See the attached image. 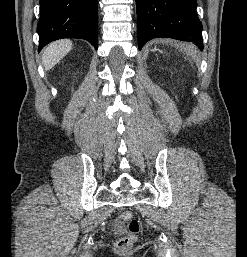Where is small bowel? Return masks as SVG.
I'll use <instances>...</instances> for the list:
<instances>
[{
    "mask_svg": "<svg viewBox=\"0 0 247 257\" xmlns=\"http://www.w3.org/2000/svg\"><path fill=\"white\" fill-rule=\"evenodd\" d=\"M114 230H115L116 233H121L124 230L123 224L119 219H116L114 221Z\"/></svg>",
    "mask_w": 247,
    "mask_h": 257,
    "instance_id": "1",
    "label": "small bowel"
}]
</instances>
